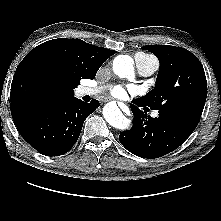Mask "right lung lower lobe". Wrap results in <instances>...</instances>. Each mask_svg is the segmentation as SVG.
Listing matches in <instances>:
<instances>
[{"mask_svg":"<svg viewBox=\"0 0 221 221\" xmlns=\"http://www.w3.org/2000/svg\"><path fill=\"white\" fill-rule=\"evenodd\" d=\"M99 101L90 103L72 98L59 104L27 109L14 117L22 137L38 152L59 156L76 143L85 119L99 107Z\"/></svg>","mask_w":221,"mask_h":221,"instance_id":"obj_1","label":"right lung lower lobe"}]
</instances>
